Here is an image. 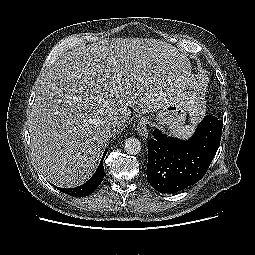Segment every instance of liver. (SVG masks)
<instances>
[{"instance_id":"6515ba94","label":"liver","mask_w":255,"mask_h":255,"mask_svg":"<svg viewBox=\"0 0 255 255\" xmlns=\"http://www.w3.org/2000/svg\"><path fill=\"white\" fill-rule=\"evenodd\" d=\"M202 81L187 55L150 38H110L66 52L47 71L29 118L33 161L59 187H75L95 171L99 157L131 109L157 111L180 100L200 114Z\"/></svg>"}]
</instances>
